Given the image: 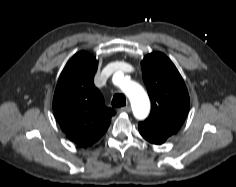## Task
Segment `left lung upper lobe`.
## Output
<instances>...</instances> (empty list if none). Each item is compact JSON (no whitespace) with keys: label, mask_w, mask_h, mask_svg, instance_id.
Here are the masks:
<instances>
[{"label":"left lung upper lobe","mask_w":236,"mask_h":187,"mask_svg":"<svg viewBox=\"0 0 236 187\" xmlns=\"http://www.w3.org/2000/svg\"><path fill=\"white\" fill-rule=\"evenodd\" d=\"M141 66L151 99V112L139 123V132L150 143L160 145L177 133L185 121L190 106L189 94L180 73L163 53L148 54Z\"/></svg>","instance_id":"left-lung-upper-lobe-1"}]
</instances>
